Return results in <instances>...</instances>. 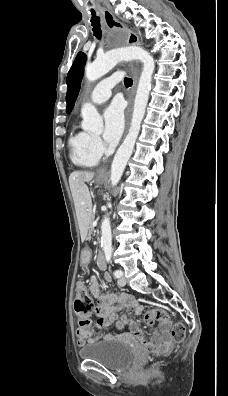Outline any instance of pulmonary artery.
<instances>
[{"label": "pulmonary artery", "instance_id": "pulmonary-artery-1", "mask_svg": "<svg viewBox=\"0 0 228 396\" xmlns=\"http://www.w3.org/2000/svg\"><path fill=\"white\" fill-rule=\"evenodd\" d=\"M119 80V74H114L101 80L92 90L89 100L94 104H101L105 102L111 97L113 87Z\"/></svg>", "mask_w": 228, "mask_h": 396}]
</instances>
